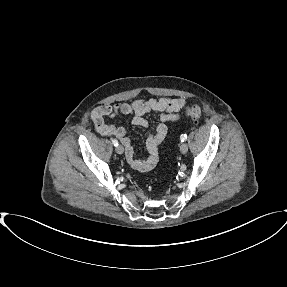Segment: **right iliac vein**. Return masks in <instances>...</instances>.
I'll use <instances>...</instances> for the list:
<instances>
[{
	"label": "right iliac vein",
	"mask_w": 287,
	"mask_h": 287,
	"mask_svg": "<svg viewBox=\"0 0 287 287\" xmlns=\"http://www.w3.org/2000/svg\"><path fill=\"white\" fill-rule=\"evenodd\" d=\"M116 152H117L118 154H123V152H124L123 146H122V145H118V146L116 147Z\"/></svg>",
	"instance_id": "1"
}]
</instances>
